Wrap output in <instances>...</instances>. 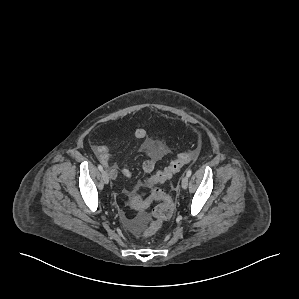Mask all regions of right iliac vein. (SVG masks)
Segmentation results:
<instances>
[{
    "instance_id": "63e3f726",
    "label": "right iliac vein",
    "mask_w": 299,
    "mask_h": 299,
    "mask_svg": "<svg viewBox=\"0 0 299 299\" xmlns=\"http://www.w3.org/2000/svg\"><path fill=\"white\" fill-rule=\"evenodd\" d=\"M102 179H103L104 183H106V184L109 183L110 178L106 171H102Z\"/></svg>"
}]
</instances>
